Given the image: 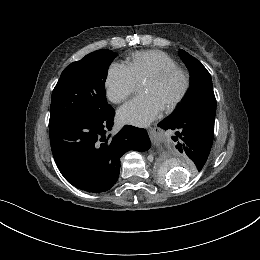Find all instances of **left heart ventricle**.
<instances>
[{
  "label": "left heart ventricle",
  "instance_id": "1",
  "mask_svg": "<svg viewBox=\"0 0 260 260\" xmlns=\"http://www.w3.org/2000/svg\"><path fill=\"white\" fill-rule=\"evenodd\" d=\"M183 85L182 76L176 74L161 83H144L143 92L154 95L165 106L180 93Z\"/></svg>",
  "mask_w": 260,
  "mask_h": 260
}]
</instances>
